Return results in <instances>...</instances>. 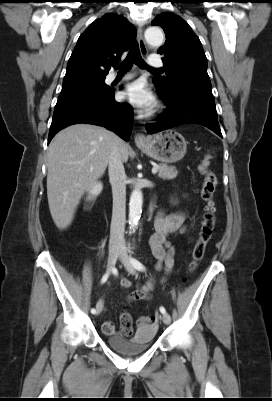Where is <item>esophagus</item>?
I'll return each instance as SVG.
<instances>
[{"instance_id": "obj_1", "label": "esophagus", "mask_w": 272, "mask_h": 401, "mask_svg": "<svg viewBox=\"0 0 272 401\" xmlns=\"http://www.w3.org/2000/svg\"><path fill=\"white\" fill-rule=\"evenodd\" d=\"M137 42L139 45L140 52L143 55H147V46L143 37V28L141 26L138 27L137 29ZM135 143L136 145H144L147 143V138L144 134L138 133L135 135Z\"/></svg>"}]
</instances>
